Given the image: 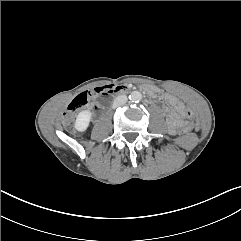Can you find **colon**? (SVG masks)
Segmentation results:
<instances>
[{
	"instance_id": "5ec220e1",
	"label": "colon",
	"mask_w": 241,
	"mask_h": 241,
	"mask_svg": "<svg viewBox=\"0 0 241 241\" xmlns=\"http://www.w3.org/2000/svg\"><path fill=\"white\" fill-rule=\"evenodd\" d=\"M106 88H94L90 91H86L84 93H81L79 96H77L73 102L69 105L66 113L64 114V121L66 123H69L72 120V114L75 110L79 109L80 107L84 106L85 104H87L89 102V100L93 99L94 97H96L97 95L101 94L102 92H104L103 90ZM187 117L191 118L192 117V112L191 111H187L186 113ZM195 124L194 123H187L186 127H184L181 130V134L185 135L187 133H191L195 131Z\"/></svg>"
}]
</instances>
